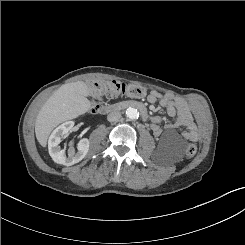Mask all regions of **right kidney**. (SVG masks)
Wrapping results in <instances>:
<instances>
[{
    "label": "right kidney",
    "instance_id": "1",
    "mask_svg": "<svg viewBox=\"0 0 245 245\" xmlns=\"http://www.w3.org/2000/svg\"><path fill=\"white\" fill-rule=\"evenodd\" d=\"M74 126L73 121H67L58 126L49 137L48 149L49 154L53 161L57 164L65 166H71L75 163L80 162L88 153L89 140L87 138L81 139L77 144L78 151L75 153V149L71 146L68 149V157L65 155V150L61 149L59 144L61 138L72 131Z\"/></svg>",
    "mask_w": 245,
    "mask_h": 245
}]
</instances>
